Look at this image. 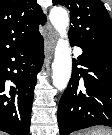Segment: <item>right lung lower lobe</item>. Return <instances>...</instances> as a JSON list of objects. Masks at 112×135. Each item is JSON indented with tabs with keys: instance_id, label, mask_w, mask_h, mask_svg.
<instances>
[{
	"instance_id": "right-lung-lower-lobe-1",
	"label": "right lung lower lobe",
	"mask_w": 112,
	"mask_h": 135,
	"mask_svg": "<svg viewBox=\"0 0 112 135\" xmlns=\"http://www.w3.org/2000/svg\"><path fill=\"white\" fill-rule=\"evenodd\" d=\"M43 50L40 34L0 57L1 131L10 135H29L34 87L44 59ZM6 80L13 85H6Z\"/></svg>"
}]
</instances>
